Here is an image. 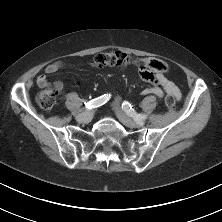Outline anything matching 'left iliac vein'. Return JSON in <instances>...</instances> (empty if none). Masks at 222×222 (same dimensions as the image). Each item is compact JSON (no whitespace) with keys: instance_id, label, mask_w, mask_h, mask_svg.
I'll return each mask as SVG.
<instances>
[{"instance_id":"1","label":"left iliac vein","mask_w":222,"mask_h":222,"mask_svg":"<svg viewBox=\"0 0 222 222\" xmlns=\"http://www.w3.org/2000/svg\"><path fill=\"white\" fill-rule=\"evenodd\" d=\"M114 111L118 119L129 128H138L144 125V121H135L128 117L120 108L119 104L114 105Z\"/></svg>"}]
</instances>
